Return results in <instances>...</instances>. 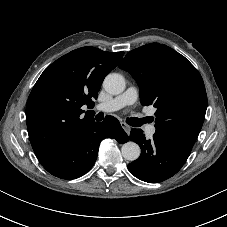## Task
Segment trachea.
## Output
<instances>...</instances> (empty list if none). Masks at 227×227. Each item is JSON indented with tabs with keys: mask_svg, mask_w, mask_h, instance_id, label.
Listing matches in <instances>:
<instances>
[{
	"mask_svg": "<svg viewBox=\"0 0 227 227\" xmlns=\"http://www.w3.org/2000/svg\"><path fill=\"white\" fill-rule=\"evenodd\" d=\"M104 115L102 113H99L97 117H103ZM127 123L131 126H140L143 123H145V119H137V118H130L127 119Z\"/></svg>",
	"mask_w": 227,
	"mask_h": 227,
	"instance_id": "1",
	"label": "trachea"
}]
</instances>
